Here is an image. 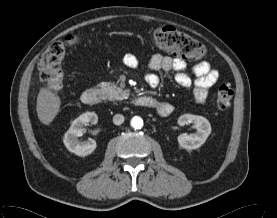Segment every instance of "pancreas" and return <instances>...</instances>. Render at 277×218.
I'll return each mask as SVG.
<instances>
[{
    "mask_svg": "<svg viewBox=\"0 0 277 218\" xmlns=\"http://www.w3.org/2000/svg\"><path fill=\"white\" fill-rule=\"evenodd\" d=\"M97 87L100 88V92L105 99L109 101L123 100L128 98L130 95V91L128 89H123L112 82H102L98 84Z\"/></svg>",
    "mask_w": 277,
    "mask_h": 218,
    "instance_id": "1",
    "label": "pancreas"
}]
</instances>
